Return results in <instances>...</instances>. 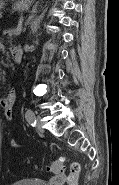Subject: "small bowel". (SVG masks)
<instances>
[{
    "instance_id": "1",
    "label": "small bowel",
    "mask_w": 119,
    "mask_h": 185,
    "mask_svg": "<svg viewBox=\"0 0 119 185\" xmlns=\"http://www.w3.org/2000/svg\"><path fill=\"white\" fill-rule=\"evenodd\" d=\"M15 100H16V92L14 89H11L8 95L0 100V105L4 110V116L7 120H11L13 117ZM12 145L15 147H20L15 142H12ZM66 178L67 177L64 174L55 176L52 179V183L55 185H62L66 181Z\"/></svg>"
}]
</instances>
